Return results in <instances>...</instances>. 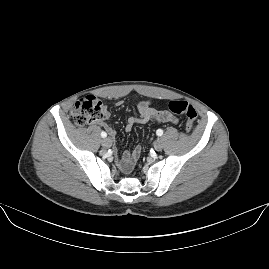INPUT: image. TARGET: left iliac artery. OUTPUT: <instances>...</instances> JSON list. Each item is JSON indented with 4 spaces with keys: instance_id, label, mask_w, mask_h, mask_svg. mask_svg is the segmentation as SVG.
<instances>
[{
    "instance_id": "obj_1",
    "label": "left iliac artery",
    "mask_w": 269,
    "mask_h": 269,
    "mask_svg": "<svg viewBox=\"0 0 269 269\" xmlns=\"http://www.w3.org/2000/svg\"><path fill=\"white\" fill-rule=\"evenodd\" d=\"M156 134H157L158 136H161V135L163 134V130L158 129V130L156 131Z\"/></svg>"
}]
</instances>
